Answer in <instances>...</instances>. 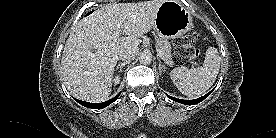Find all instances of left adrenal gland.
Returning <instances> with one entry per match:
<instances>
[{"label":"left adrenal gland","mask_w":276,"mask_h":138,"mask_svg":"<svg viewBox=\"0 0 276 138\" xmlns=\"http://www.w3.org/2000/svg\"><path fill=\"white\" fill-rule=\"evenodd\" d=\"M158 63H159V66H158L159 72L161 73V69H162V68L165 69V66L162 65L161 60H160L159 58H158Z\"/></svg>","instance_id":"left-adrenal-gland-1"}]
</instances>
